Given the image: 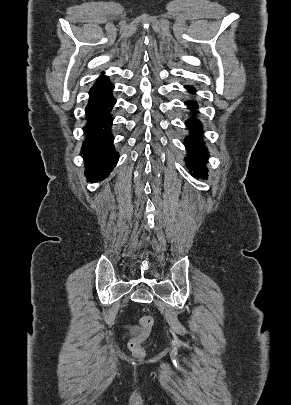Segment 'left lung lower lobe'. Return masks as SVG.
<instances>
[{
    "instance_id": "1",
    "label": "left lung lower lobe",
    "mask_w": 291,
    "mask_h": 405,
    "mask_svg": "<svg viewBox=\"0 0 291 405\" xmlns=\"http://www.w3.org/2000/svg\"><path fill=\"white\" fill-rule=\"evenodd\" d=\"M185 104L190 106L191 108L198 107L197 103L193 101L185 102ZM193 111L196 112L195 110ZM187 125L190 126V130L196 134L195 137H186L184 141L188 152V156L185 159L187 162V167L194 171L193 175L195 177L198 175H200L201 177L204 175L206 176L207 170L205 168V163L207 162L208 157L206 154L204 143L198 136V129L201 127V125L193 120V118L192 120H190V122H187Z\"/></svg>"
}]
</instances>
